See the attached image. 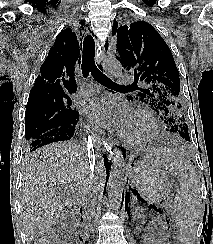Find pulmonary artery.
<instances>
[{
    "instance_id": "e3ab8cb5",
    "label": "pulmonary artery",
    "mask_w": 213,
    "mask_h": 244,
    "mask_svg": "<svg viewBox=\"0 0 213 244\" xmlns=\"http://www.w3.org/2000/svg\"><path fill=\"white\" fill-rule=\"evenodd\" d=\"M132 80V77L128 74H120L118 76V81L120 83H129ZM99 86L91 83H84L81 89L79 90V95L82 97H87L98 93Z\"/></svg>"
}]
</instances>
